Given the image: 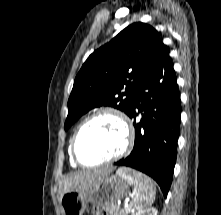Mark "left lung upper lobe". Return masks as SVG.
<instances>
[{"mask_svg": "<svg viewBox=\"0 0 221 215\" xmlns=\"http://www.w3.org/2000/svg\"><path fill=\"white\" fill-rule=\"evenodd\" d=\"M162 44L155 28L137 22L95 50L75 78L65 130L92 108L103 105L128 115L137 89Z\"/></svg>", "mask_w": 221, "mask_h": 215, "instance_id": "5c2ea615", "label": "left lung upper lobe"}]
</instances>
